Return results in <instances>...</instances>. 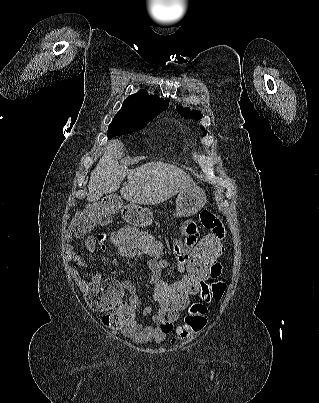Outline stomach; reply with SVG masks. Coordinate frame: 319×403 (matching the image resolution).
Masks as SVG:
<instances>
[{"label": "stomach", "instance_id": "1", "mask_svg": "<svg viewBox=\"0 0 319 403\" xmlns=\"http://www.w3.org/2000/svg\"><path fill=\"white\" fill-rule=\"evenodd\" d=\"M206 194L199 186L187 187L179 193L176 199V217H189L196 214L205 204ZM128 224L150 228L154 225L152 214L138 206L132 205L127 211Z\"/></svg>", "mask_w": 319, "mask_h": 403}]
</instances>
